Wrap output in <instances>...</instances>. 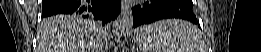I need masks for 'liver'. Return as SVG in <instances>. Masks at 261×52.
Segmentation results:
<instances>
[{
	"label": "liver",
	"mask_w": 261,
	"mask_h": 52,
	"mask_svg": "<svg viewBox=\"0 0 261 52\" xmlns=\"http://www.w3.org/2000/svg\"><path fill=\"white\" fill-rule=\"evenodd\" d=\"M100 46L95 24L73 15L45 18L38 28L36 52H98Z\"/></svg>",
	"instance_id": "1"
}]
</instances>
